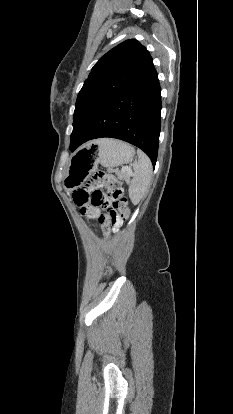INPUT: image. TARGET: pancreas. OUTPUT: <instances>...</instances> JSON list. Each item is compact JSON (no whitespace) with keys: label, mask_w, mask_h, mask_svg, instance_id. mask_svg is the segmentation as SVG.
Listing matches in <instances>:
<instances>
[{"label":"pancreas","mask_w":233,"mask_h":414,"mask_svg":"<svg viewBox=\"0 0 233 414\" xmlns=\"http://www.w3.org/2000/svg\"><path fill=\"white\" fill-rule=\"evenodd\" d=\"M116 174L118 175L119 178L124 179L127 183L130 180V175L128 172H116Z\"/></svg>","instance_id":"pancreas-1"}]
</instances>
